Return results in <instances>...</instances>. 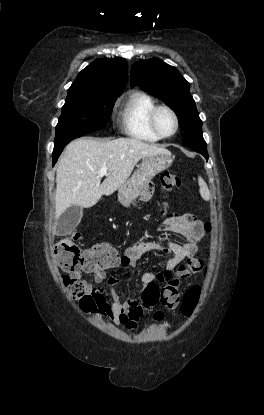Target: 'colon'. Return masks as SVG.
Listing matches in <instances>:
<instances>
[{"instance_id": "5ec220e1", "label": "colon", "mask_w": 264, "mask_h": 415, "mask_svg": "<svg viewBox=\"0 0 264 415\" xmlns=\"http://www.w3.org/2000/svg\"><path fill=\"white\" fill-rule=\"evenodd\" d=\"M163 190L171 191L181 188L179 176L172 171H165L160 176ZM161 210L165 206H160ZM205 232H212L210 221L205 222ZM80 235L64 238L54 247V257L58 267L64 272L62 275L63 286L69 291L74 301L78 303L84 311L96 309V302L86 291L85 284L80 279V273L87 268H105L117 263L121 258L116 250L107 244H99L85 252L78 247ZM202 266V260L191 258L176 270L177 275L172 272H164L158 276V282L146 285L141 296V305L144 307V314H154L153 309L161 304L167 309H174L179 304V283L186 273L196 271ZM201 289L198 286L191 287L185 293L181 302V313L185 317H191L200 300Z\"/></svg>"}]
</instances>
